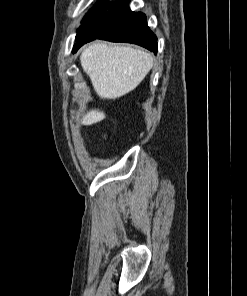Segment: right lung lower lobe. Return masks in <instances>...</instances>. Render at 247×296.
Listing matches in <instances>:
<instances>
[{
	"label": "right lung lower lobe",
	"mask_w": 247,
	"mask_h": 296,
	"mask_svg": "<svg viewBox=\"0 0 247 296\" xmlns=\"http://www.w3.org/2000/svg\"><path fill=\"white\" fill-rule=\"evenodd\" d=\"M129 1L110 2L101 15L88 24L86 38L73 51L87 42L103 39L137 44L157 54V37L147 26L146 16L132 12L128 7Z\"/></svg>",
	"instance_id": "right-lung-lower-lobe-1"
}]
</instances>
